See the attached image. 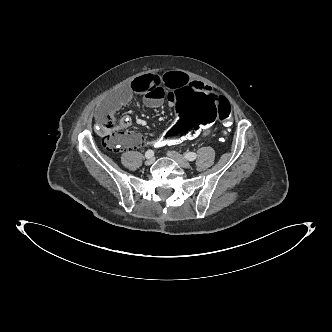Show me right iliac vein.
Returning <instances> with one entry per match:
<instances>
[{
  "instance_id": "obj_1",
  "label": "right iliac vein",
  "mask_w": 332,
  "mask_h": 332,
  "mask_svg": "<svg viewBox=\"0 0 332 332\" xmlns=\"http://www.w3.org/2000/svg\"><path fill=\"white\" fill-rule=\"evenodd\" d=\"M154 163V157H150V158H147V160L145 161V164L147 166H150Z\"/></svg>"
}]
</instances>
